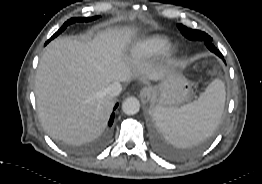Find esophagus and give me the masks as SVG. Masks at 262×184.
Returning a JSON list of instances; mask_svg holds the SVG:
<instances>
[{
	"instance_id": "1",
	"label": "esophagus",
	"mask_w": 262,
	"mask_h": 184,
	"mask_svg": "<svg viewBox=\"0 0 262 184\" xmlns=\"http://www.w3.org/2000/svg\"><path fill=\"white\" fill-rule=\"evenodd\" d=\"M153 91L150 87H144L140 91V97L143 102H149L152 98Z\"/></svg>"
}]
</instances>
